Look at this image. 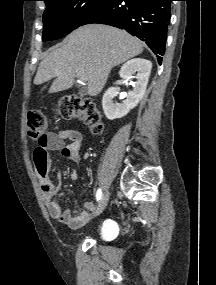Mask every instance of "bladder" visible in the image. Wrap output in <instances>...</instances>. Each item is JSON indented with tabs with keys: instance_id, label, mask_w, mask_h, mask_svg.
<instances>
[{
	"instance_id": "bladder-1",
	"label": "bladder",
	"mask_w": 216,
	"mask_h": 285,
	"mask_svg": "<svg viewBox=\"0 0 216 285\" xmlns=\"http://www.w3.org/2000/svg\"><path fill=\"white\" fill-rule=\"evenodd\" d=\"M114 233V225L110 222H104L99 228V236L104 240L111 238Z\"/></svg>"
}]
</instances>
